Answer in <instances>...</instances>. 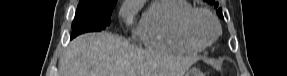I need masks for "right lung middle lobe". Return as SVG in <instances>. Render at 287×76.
Segmentation results:
<instances>
[{
    "instance_id": "1",
    "label": "right lung middle lobe",
    "mask_w": 287,
    "mask_h": 76,
    "mask_svg": "<svg viewBox=\"0 0 287 76\" xmlns=\"http://www.w3.org/2000/svg\"><path fill=\"white\" fill-rule=\"evenodd\" d=\"M116 2L117 0H80L72 23L71 39L109 26Z\"/></svg>"
}]
</instances>
